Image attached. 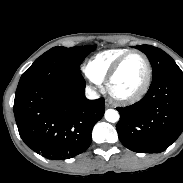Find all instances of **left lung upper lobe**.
Instances as JSON below:
<instances>
[{
	"label": "left lung upper lobe",
	"mask_w": 183,
	"mask_h": 183,
	"mask_svg": "<svg viewBox=\"0 0 183 183\" xmlns=\"http://www.w3.org/2000/svg\"><path fill=\"white\" fill-rule=\"evenodd\" d=\"M136 48L148 57L153 68L152 80L167 73L180 70L175 61L160 48L150 45H137Z\"/></svg>",
	"instance_id": "obj_1"
}]
</instances>
